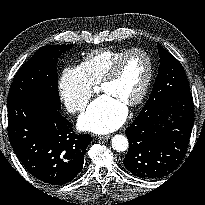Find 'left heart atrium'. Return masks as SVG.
<instances>
[{"mask_svg": "<svg viewBox=\"0 0 205 205\" xmlns=\"http://www.w3.org/2000/svg\"><path fill=\"white\" fill-rule=\"evenodd\" d=\"M126 105L109 94L94 100L80 116L79 125L85 130L105 134L118 129L125 121Z\"/></svg>", "mask_w": 205, "mask_h": 205, "instance_id": "obj_1", "label": "left heart atrium"}]
</instances>
